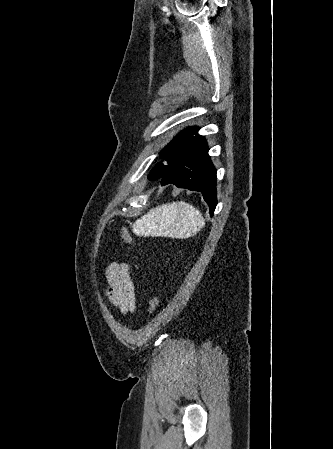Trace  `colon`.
Returning a JSON list of instances; mask_svg holds the SVG:
<instances>
[{"instance_id": "1", "label": "colon", "mask_w": 333, "mask_h": 449, "mask_svg": "<svg viewBox=\"0 0 333 449\" xmlns=\"http://www.w3.org/2000/svg\"><path fill=\"white\" fill-rule=\"evenodd\" d=\"M120 236L125 243L132 244L133 236L130 231L126 227H122L120 230ZM160 299L157 296H152L149 299L148 303V311L149 313H153L159 307Z\"/></svg>"}]
</instances>
